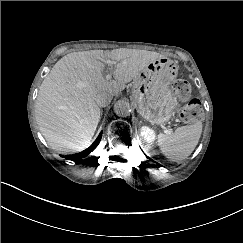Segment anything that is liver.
I'll return each mask as SVG.
<instances>
[{
  "label": "liver",
  "instance_id": "obj_1",
  "mask_svg": "<svg viewBox=\"0 0 243 243\" xmlns=\"http://www.w3.org/2000/svg\"><path fill=\"white\" fill-rule=\"evenodd\" d=\"M163 57L153 51L120 48L69 53L44 78L35 103V119L48 144L58 151L77 152L88 146L98 126V93L109 86L122 91L149 63ZM117 62L116 81L103 77L106 60ZM80 130L81 132H78Z\"/></svg>",
  "mask_w": 243,
  "mask_h": 243
}]
</instances>
